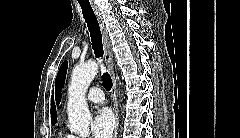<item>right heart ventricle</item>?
<instances>
[{"instance_id": "1", "label": "right heart ventricle", "mask_w": 240, "mask_h": 138, "mask_svg": "<svg viewBox=\"0 0 240 138\" xmlns=\"http://www.w3.org/2000/svg\"><path fill=\"white\" fill-rule=\"evenodd\" d=\"M58 138H71L68 135L61 133Z\"/></svg>"}]
</instances>
